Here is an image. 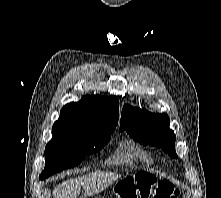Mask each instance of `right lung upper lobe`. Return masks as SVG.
<instances>
[{
    "instance_id": "right-lung-upper-lobe-1",
    "label": "right lung upper lobe",
    "mask_w": 221,
    "mask_h": 198,
    "mask_svg": "<svg viewBox=\"0 0 221 198\" xmlns=\"http://www.w3.org/2000/svg\"><path fill=\"white\" fill-rule=\"evenodd\" d=\"M119 101L115 97L83 96L66 104L54 123L53 134L85 135L101 129H114L118 124Z\"/></svg>"
}]
</instances>
